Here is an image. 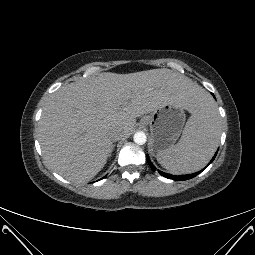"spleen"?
<instances>
[{
	"instance_id": "obj_1",
	"label": "spleen",
	"mask_w": 255,
	"mask_h": 255,
	"mask_svg": "<svg viewBox=\"0 0 255 255\" xmlns=\"http://www.w3.org/2000/svg\"><path fill=\"white\" fill-rule=\"evenodd\" d=\"M220 132L221 121L217 106L209 96H202L178 143L160 152L157 161L175 174L198 171L213 156L219 143Z\"/></svg>"
}]
</instances>
